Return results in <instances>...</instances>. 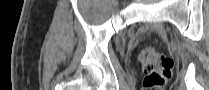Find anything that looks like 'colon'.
Instances as JSON below:
<instances>
[{
  "instance_id": "5ec220e1",
  "label": "colon",
  "mask_w": 209,
  "mask_h": 90,
  "mask_svg": "<svg viewBox=\"0 0 209 90\" xmlns=\"http://www.w3.org/2000/svg\"><path fill=\"white\" fill-rule=\"evenodd\" d=\"M146 77L143 85L146 89L159 90L170 78L173 61L153 47L143 48L139 54Z\"/></svg>"
}]
</instances>
